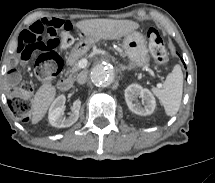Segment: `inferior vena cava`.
<instances>
[{
  "instance_id": "obj_1",
  "label": "inferior vena cava",
  "mask_w": 215,
  "mask_h": 183,
  "mask_svg": "<svg viewBox=\"0 0 215 183\" xmlns=\"http://www.w3.org/2000/svg\"><path fill=\"white\" fill-rule=\"evenodd\" d=\"M87 76H88L87 72L86 71H82L77 76V82L79 84H84L87 81Z\"/></svg>"
}]
</instances>
